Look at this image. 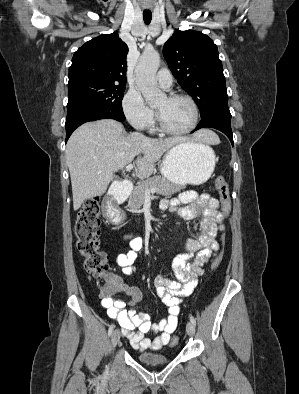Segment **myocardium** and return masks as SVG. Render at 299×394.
Segmentation results:
<instances>
[{"mask_svg": "<svg viewBox=\"0 0 299 394\" xmlns=\"http://www.w3.org/2000/svg\"><path fill=\"white\" fill-rule=\"evenodd\" d=\"M166 97L170 100L183 99V100H186L187 102H189L190 105L192 106V109H193L194 119H193L192 124L188 128L183 129V130H175V129L168 127L165 124V122L162 119L159 112L156 111V119H157L158 127L160 128V130L163 131L164 133H167L170 135H184V134H188L191 131H193L197 127L198 122H199V117H200L199 108H198V105L195 102V100L186 94H178V93H170Z\"/></svg>", "mask_w": 299, "mask_h": 394, "instance_id": "f54148a6", "label": "myocardium"}]
</instances>
